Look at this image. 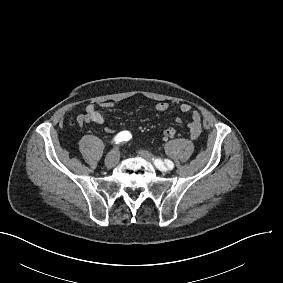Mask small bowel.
Listing matches in <instances>:
<instances>
[{
    "instance_id": "c3829d8e",
    "label": "small bowel",
    "mask_w": 283,
    "mask_h": 283,
    "mask_svg": "<svg viewBox=\"0 0 283 283\" xmlns=\"http://www.w3.org/2000/svg\"><path fill=\"white\" fill-rule=\"evenodd\" d=\"M114 108V104L112 102H102L99 104L90 103L87 104L84 113L80 114L77 117V121L80 125L87 124L90 122L97 123V124H104L106 119L105 116L101 113L100 109L110 110ZM155 111L158 114H163L168 110V105L165 102H157L154 106ZM180 112L187 114H191V120L188 124L190 137L193 140L199 138L202 129V118L201 114L197 110H193L191 105L188 103H182L179 106ZM177 123L181 124L182 120L179 118L177 119ZM107 131L112 133L113 130L108 128Z\"/></svg>"
}]
</instances>
